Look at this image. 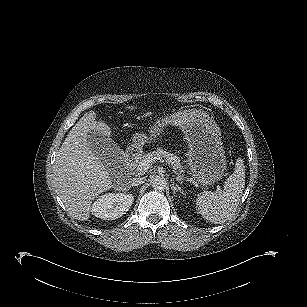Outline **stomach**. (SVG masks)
I'll return each instance as SVG.
<instances>
[{"label": "stomach", "instance_id": "1", "mask_svg": "<svg viewBox=\"0 0 307 307\" xmlns=\"http://www.w3.org/2000/svg\"><path fill=\"white\" fill-rule=\"evenodd\" d=\"M168 125L178 127L188 143L187 163L193 178L201 185L217 182L225 169L220 131L212 117L200 109H181L157 119L151 126L150 138H157ZM145 136H138L139 144Z\"/></svg>", "mask_w": 307, "mask_h": 307}]
</instances>
